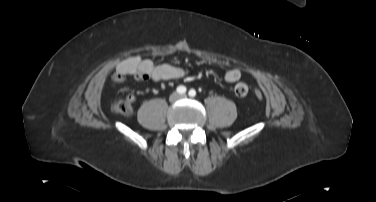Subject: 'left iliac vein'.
<instances>
[{
    "label": "left iliac vein",
    "mask_w": 376,
    "mask_h": 202,
    "mask_svg": "<svg viewBox=\"0 0 376 202\" xmlns=\"http://www.w3.org/2000/svg\"><path fill=\"white\" fill-rule=\"evenodd\" d=\"M181 98H185V95H182Z\"/></svg>",
    "instance_id": "left-iliac-vein-1"
}]
</instances>
